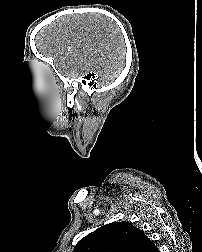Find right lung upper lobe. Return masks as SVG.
Instances as JSON below:
<instances>
[{"label":"right lung upper lobe","mask_w":202,"mask_h":252,"mask_svg":"<svg viewBox=\"0 0 202 252\" xmlns=\"http://www.w3.org/2000/svg\"><path fill=\"white\" fill-rule=\"evenodd\" d=\"M73 252H159V250L131 223L113 222L81 239Z\"/></svg>","instance_id":"right-lung-upper-lobe-1"}]
</instances>
